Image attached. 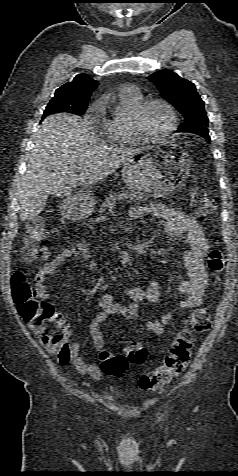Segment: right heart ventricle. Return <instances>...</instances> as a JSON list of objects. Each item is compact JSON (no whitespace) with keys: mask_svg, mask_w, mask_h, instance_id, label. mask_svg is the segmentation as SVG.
I'll return each instance as SVG.
<instances>
[{"mask_svg":"<svg viewBox=\"0 0 238 476\" xmlns=\"http://www.w3.org/2000/svg\"><path fill=\"white\" fill-rule=\"evenodd\" d=\"M141 101L139 92L119 91L116 106L101 122L102 133L112 144L122 146L138 141L130 129V116Z\"/></svg>","mask_w":238,"mask_h":476,"instance_id":"obj_1","label":"right heart ventricle"}]
</instances>
